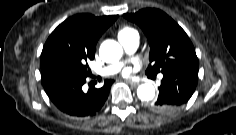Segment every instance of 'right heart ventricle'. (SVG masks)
I'll return each instance as SVG.
<instances>
[{
  "mask_svg": "<svg viewBox=\"0 0 236 135\" xmlns=\"http://www.w3.org/2000/svg\"><path fill=\"white\" fill-rule=\"evenodd\" d=\"M132 35H137V32L134 28L130 26H123L118 30V38L129 37Z\"/></svg>",
  "mask_w": 236,
  "mask_h": 135,
  "instance_id": "obj_1",
  "label": "right heart ventricle"
}]
</instances>
